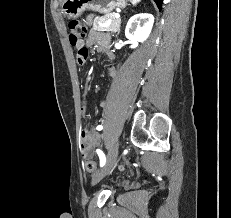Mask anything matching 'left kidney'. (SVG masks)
I'll use <instances>...</instances> for the list:
<instances>
[{"mask_svg":"<svg viewBox=\"0 0 231 218\" xmlns=\"http://www.w3.org/2000/svg\"><path fill=\"white\" fill-rule=\"evenodd\" d=\"M154 23V16L140 13L132 16L126 26L125 36L136 43L144 42L150 35Z\"/></svg>","mask_w":231,"mask_h":218,"instance_id":"5707ae66","label":"left kidney"}]
</instances>
